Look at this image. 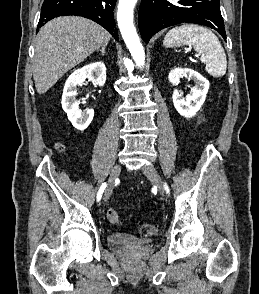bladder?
Listing matches in <instances>:
<instances>
[{
    "label": "bladder",
    "instance_id": "31cf9c89",
    "mask_svg": "<svg viewBox=\"0 0 259 294\" xmlns=\"http://www.w3.org/2000/svg\"><path fill=\"white\" fill-rule=\"evenodd\" d=\"M107 240L112 245L143 244L148 242L146 238L137 237L132 234L122 232H114L109 234Z\"/></svg>",
    "mask_w": 259,
    "mask_h": 294
}]
</instances>
